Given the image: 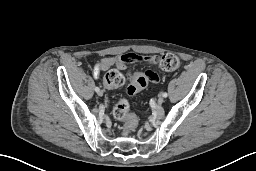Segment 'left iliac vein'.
<instances>
[{"instance_id": "obj_1", "label": "left iliac vein", "mask_w": 256, "mask_h": 171, "mask_svg": "<svg viewBox=\"0 0 256 171\" xmlns=\"http://www.w3.org/2000/svg\"><path fill=\"white\" fill-rule=\"evenodd\" d=\"M163 102H164V98H163V96H160L158 101H157L158 105H162Z\"/></svg>"}]
</instances>
